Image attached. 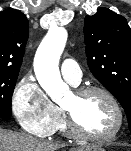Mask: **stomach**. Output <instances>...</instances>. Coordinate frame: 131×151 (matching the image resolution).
<instances>
[{
	"instance_id": "obj_1",
	"label": "stomach",
	"mask_w": 131,
	"mask_h": 151,
	"mask_svg": "<svg viewBox=\"0 0 131 151\" xmlns=\"http://www.w3.org/2000/svg\"><path fill=\"white\" fill-rule=\"evenodd\" d=\"M83 151H105V149H103V148H101L99 146H93V147H90V148H86Z\"/></svg>"
}]
</instances>
